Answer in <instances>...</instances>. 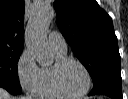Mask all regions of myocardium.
I'll return each mask as SVG.
<instances>
[{"label":"myocardium","instance_id":"obj_1","mask_svg":"<svg viewBox=\"0 0 128 99\" xmlns=\"http://www.w3.org/2000/svg\"><path fill=\"white\" fill-rule=\"evenodd\" d=\"M72 63L79 65L82 68V70L84 71L86 78H87L86 87L79 93L67 92L63 88L61 81H60V76H61L63 69L67 65L72 64ZM51 74H52L53 85H54L56 91L63 97L73 98V99L81 98L89 92V90L92 86V76H91L88 68L80 60L75 59V58L66 57L64 59L56 61V63L52 66Z\"/></svg>","mask_w":128,"mask_h":99}]
</instances>
